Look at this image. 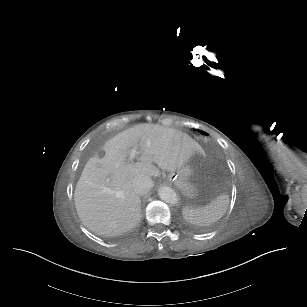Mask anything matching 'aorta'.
Segmentation results:
<instances>
[{"label":"aorta","instance_id":"obj_1","mask_svg":"<svg viewBox=\"0 0 307 307\" xmlns=\"http://www.w3.org/2000/svg\"><path fill=\"white\" fill-rule=\"evenodd\" d=\"M159 196L166 203L176 204L178 201L177 193L167 186H163L159 189Z\"/></svg>","mask_w":307,"mask_h":307}]
</instances>
